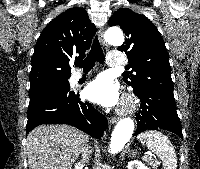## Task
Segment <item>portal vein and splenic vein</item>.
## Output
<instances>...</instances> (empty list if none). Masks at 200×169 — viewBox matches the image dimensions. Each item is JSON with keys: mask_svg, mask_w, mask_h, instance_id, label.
Here are the masks:
<instances>
[{"mask_svg": "<svg viewBox=\"0 0 200 169\" xmlns=\"http://www.w3.org/2000/svg\"><path fill=\"white\" fill-rule=\"evenodd\" d=\"M151 156V155H150ZM148 156H144V159H146Z\"/></svg>", "mask_w": 200, "mask_h": 169, "instance_id": "1", "label": "portal vein and splenic vein"}]
</instances>
